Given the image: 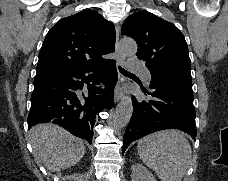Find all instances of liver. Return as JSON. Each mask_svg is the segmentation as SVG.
Wrapping results in <instances>:
<instances>
[{
  "mask_svg": "<svg viewBox=\"0 0 228 181\" xmlns=\"http://www.w3.org/2000/svg\"><path fill=\"white\" fill-rule=\"evenodd\" d=\"M29 133L35 161L51 173L74 167L86 153L82 139L53 123L35 125Z\"/></svg>",
  "mask_w": 228,
  "mask_h": 181,
  "instance_id": "6515ba94",
  "label": "liver"
}]
</instances>
